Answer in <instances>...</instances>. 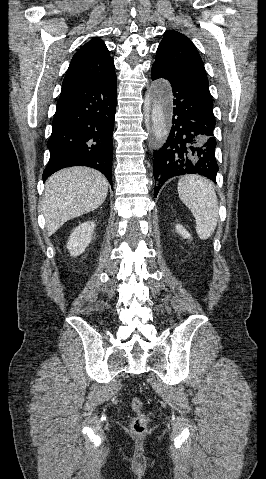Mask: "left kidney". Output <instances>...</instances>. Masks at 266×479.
I'll return each mask as SVG.
<instances>
[{"label": "left kidney", "instance_id": "1", "mask_svg": "<svg viewBox=\"0 0 266 479\" xmlns=\"http://www.w3.org/2000/svg\"><path fill=\"white\" fill-rule=\"evenodd\" d=\"M175 231L180 234L183 238L191 239V234L180 224L175 226Z\"/></svg>", "mask_w": 266, "mask_h": 479}]
</instances>
